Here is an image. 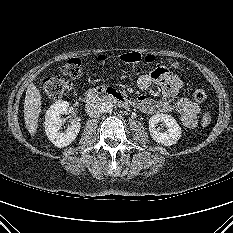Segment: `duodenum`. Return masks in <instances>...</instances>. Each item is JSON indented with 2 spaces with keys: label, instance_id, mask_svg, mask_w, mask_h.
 Masks as SVG:
<instances>
[{
  "label": "duodenum",
  "instance_id": "1",
  "mask_svg": "<svg viewBox=\"0 0 233 233\" xmlns=\"http://www.w3.org/2000/svg\"><path fill=\"white\" fill-rule=\"evenodd\" d=\"M84 98L87 102L113 101L123 107H130L133 104L131 98L125 93L105 86H98L87 90L84 93Z\"/></svg>",
  "mask_w": 233,
  "mask_h": 233
}]
</instances>
